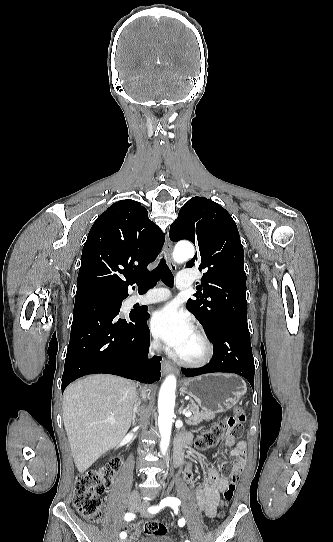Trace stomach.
<instances>
[{
  "label": "stomach",
  "instance_id": "stomach-1",
  "mask_svg": "<svg viewBox=\"0 0 333 542\" xmlns=\"http://www.w3.org/2000/svg\"><path fill=\"white\" fill-rule=\"evenodd\" d=\"M180 392L191 396L202 410L227 412L243 398L246 388L236 374H204L183 380Z\"/></svg>",
  "mask_w": 333,
  "mask_h": 542
}]
</instances>
